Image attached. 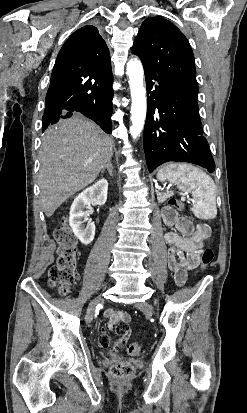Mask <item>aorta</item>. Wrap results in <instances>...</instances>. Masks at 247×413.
Returning a JSON list of instances; mask_svg holds the SVG:
<instances>
[{
	"instance_id": "1",
	"label": "aorta",
	"mask_w": 247,
	"mask_h": 413,
	"mask_svg": "<svg viewBox=\"0 0 247 413\" xmlns=\"http://www.w3.org/2000/svg\"><path fill=\"white\" fill-rule=\"evenodd\" d=\"M126 70L132 98L130 133L136 139L142 132L147 112L146 90L143 85L144 70L138 58L129 60Z\"/></svg>"
}]
</instances>
